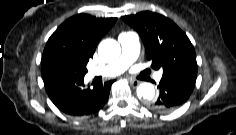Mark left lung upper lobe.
<instances>
[{
	"label": "left lung upper lobe",
	"instance_id": "5c2ea615",
	"mask_svg": "<svg viewBox=\"0 0 236 135\" xmlns=\"http://www.w3.org/2000/svg\"><path fill=\"white\" fill-rule=\"evenodd\" d=\"M142 38L148 60L163 74L179 70H197L196 54L187 35L167 17L143 11L121 17Z\"/></svg>",
	"mask_w": 236,
	"mask_h": 135
}]
</instances>
